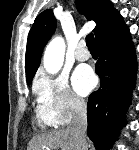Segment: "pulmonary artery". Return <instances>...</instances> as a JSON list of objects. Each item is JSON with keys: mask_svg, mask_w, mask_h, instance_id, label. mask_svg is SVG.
<instances>
[{"mask_svg": "<svg viewBox=\"0 0 139 150\" xmlns=\"http://www.w3.org/2000/svg\"><path fill=\"white\" fill-rule=\"evenodd\" d=\"M75 57L78 61H86L90 58V52L84 41H81L76 49Z\"/></svg>", "mask_w": 139, "mask_h": 150, "instance_id": "pulmonary-artery-1", "label": "pulmonary artery"}]
</instances>
